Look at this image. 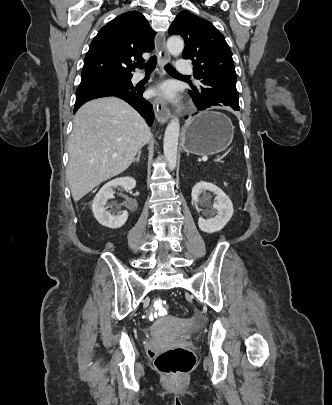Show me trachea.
Wrapping results in <instances>:
<instances>
[{
  "instance_id": "3493384b",
  "label": "trachea",
  "mask_w": 332,
  "mask_h": 405,
  "mask_svg": "<svg viewBox=\"0 0 332 405\" xmlns=\"http://www.w3.org/2000/svg\"><path fill=\"white\" fill-rule=\"evenodd\" d=\"M157 64V58L156 56H152L146 63H136L135 66L140 68V69H144L145 72L147 74L152 73L153 70L155 69ZM165 70L170 73V74H177V75H181L179 72L176 71V69L171 65V64H167L165 66Z\"/></svg>"
}]
</instances>
